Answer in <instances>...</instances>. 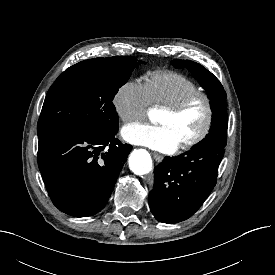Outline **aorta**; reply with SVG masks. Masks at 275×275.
<instances>
[{
  "mask_svg": "<svg viewBox=\"0 0 275 275\" xmlns=\"http://www.w3.org/2000/svg\"><path fill=\"white\" fill-rule=\"evenodd\" d=\"M149 117L151 120L158 117L157 110H150ZM130 169L137 175L148 174L153 167L152 159L145 150H134L129 157Z\"/></svg>",
  "mask_w": 275,
  "mask_h": 275,
  "instance_id": "obj_1",
  "label": "aorta"
}]
</instances>
